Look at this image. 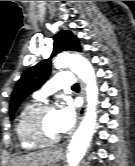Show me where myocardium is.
<instances>
[{
	"instance_id": "f54148a6",
	"label": "myocardium",
	"mask_w": 135,
	"mask_h": 166,
	"mask_svg": "<svg viewBox=\"0 0 135 166\" xmlns=\"http://www.w3.org/2000/svg\"><path fill=\"white\" fill-rule=\"evenodd\" d=\"M50 111H55V105L43 103L34 106L26 112L20 125L21 135L25 140L41 146L54 145L60 141L61 135L47 139L41 135L37 128V121L39 118Z\"/></svg>"
}]
</instances>
